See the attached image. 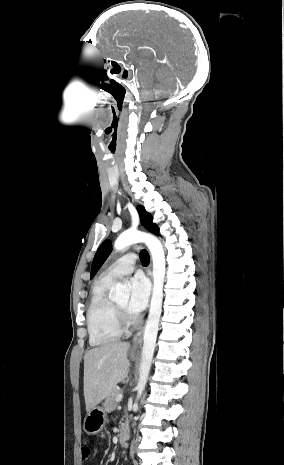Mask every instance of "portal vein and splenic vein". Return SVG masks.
Masks as SVG:
<instances>
[{"mask_svg":"<svg viewBox=\"0 0 284 465\" xmlns=\"http://www.w3.org/2000/svg\"><path fill=\"white\" fill-rule=\"evenodd\" d=\"M123 399V395H118V397H116L115 401L116 403H120V401H122Z\"/></svg>","mask_w":284,"mask_h":465,"instance_id":"1","label":"portal vein and splenic vein"}]
</instances>
